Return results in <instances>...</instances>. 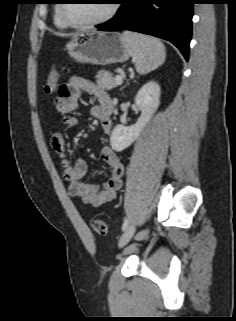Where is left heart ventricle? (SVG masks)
I'll use <instances>...</instances> for the list:
<instances>
[{
    "label": "left heart ventricle",
    "instance_id": "1",
    "mask_svg": "<svg viewBox=\"0 0 236 321\" xmlns=\"http://www.w3.org/2000/svg\"><path fill=\"white\" fill-rule=\"evenodd\" d=\"M110 5L109 0H76L66 4L65 12L73 21L89 22L106 15Z\"/></svg>",
    "mask_w": 236,
    "mask_h": 321
}]
</instances>
